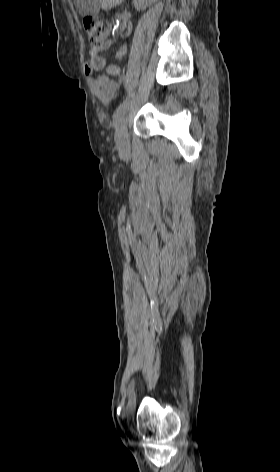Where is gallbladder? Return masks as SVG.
Returning <instances> with one entry per match:
<instances>
[{"label": "gallbladder", "mask_w": 280, "mask_h": 472, "mask_svg": "<svg viewBox=\"0 0 280 472\" xmlns=\"http://www.w3.org/2000/svg\"><path fill=\"white\" fill-rule=\"evenodd\" d=\"M76 9L81 16L96 15L100 10V0H75Z\"/></svg>", "instance_id": "1"}]
</instances>
